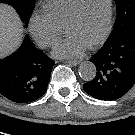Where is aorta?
<instances>
[{
	"label": "aorta",
	"instance_id": "1",
	"mask_svg": "<svg viewBox=\"0 0 135 135\" xmlns=\"http://www.w3.org/2000/svg\"><path fill=\"white\" fill-rule=\"evenodd\" d=\"M79 75L85 81H89L96 76V67L90 61H84L79 65Z\"/></svg>",
	"mask_w": 135,
	"mask_h": 135
}]
</instances>
